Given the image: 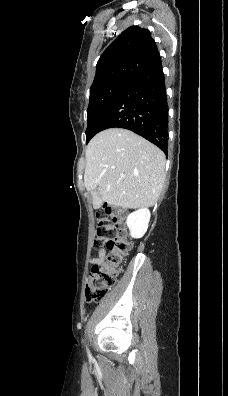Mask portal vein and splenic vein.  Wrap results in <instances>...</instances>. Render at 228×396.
<instances>
[{
    "label": "portal vein and splenic vein",
    "mask_w": 228,
    "mask_h": 396,
    "mask_svg": "<svg viewBox=\"0 0 228 396\" xmlns=\"http://www.w3.org/2000/svg\"><path fill=\"white\" fill-rule=\"evenodd\" d=\"M121 178H124V175H121Z\"/></svg>",
    "instance_id": "18ae733b"
}]
</instances>
